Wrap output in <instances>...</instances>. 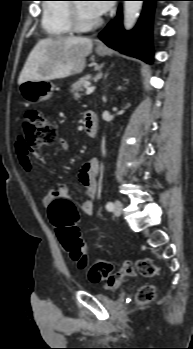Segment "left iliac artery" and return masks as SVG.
<instances>
[{
	"label": "left iliac artery",
	"instance_id": "obj_1",
	"mask_svg": "<svg viewBox=\"0 0 193 349\" xmlns=\"http://www.w3.org/2000/svg\"><path fill=\"white\" fill-rule=\"evenodd\" d=\"M106 209H107L108 211H112V210L114 209L113 203H112V202H108V203L106 204Z\"/></svg>",
	"mask_w": 193,
	"mask_h": 349
}]
</instances>
